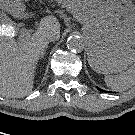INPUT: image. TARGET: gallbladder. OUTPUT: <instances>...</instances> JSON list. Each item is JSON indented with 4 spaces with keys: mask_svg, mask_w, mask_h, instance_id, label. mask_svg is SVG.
Instances as JSON below:
<instances>
[{
    "mask_svg": "<svg viewBox=\"0 0 135 135\" xmlns=\"http://www.w3.org/2000/svg\"><path fill=\"white\" fill-rule=\"evenodd\" d=\"M3 18H7V16L5 15V13L3 11H0V24H7L8 23V19L3 20Z\"/></svg>",
    "mask_w": 135,
    "mask_h": 135,
    "instance_id": "obj_1",
    "label": "gallbladder"
}]
</instances>
